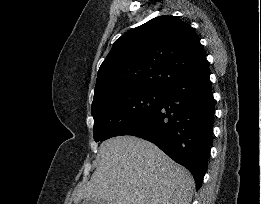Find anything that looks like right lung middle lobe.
I'll list each match as a JSON object with an SVG mask.
<instances>
[{
    "label": "right lung middle lobe",
    "instance_id": "dd1d6c3e",
    "mask_svg": "<svg viewBox=\"0 0 261 204\" xmlns=\"http://www.w3.org/2000/svg\"><path fill=\"white\" fill-rule=\"evenodd\" d=\"M162 96L163 91L148 89L120 90L104 96L92 105L95 141L120 135L151 111Z\"/></svg>",
    "mask_w": 261,
    "mask_h": 204
}]
</instances>
